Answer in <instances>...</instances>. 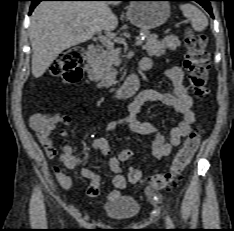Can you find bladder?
I'll use <instances>...</instances> for the list:
<instances>
[{"label":"bladder","mask_w":234,"mask_h":231,"mask_svg":"<svg viewBox=\"0 0 234 231\" xmlns=\"http://www.w3.org/2000/svg\"><path fill=\"white\" fill-rule=\"evenodd\" d=\"M104 212L115 220L128 221L135 219L141 211V205L135 198L120 195L103 208Z\"/></svg>","instance_id":"obj_1"}]
</instances>
